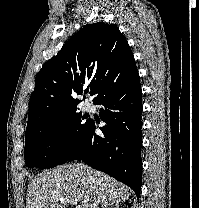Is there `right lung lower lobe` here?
<instances>
[{"label":"right lung lower lobe","mask_w":199,"mask_h":208,"mask_svg":"<svg viewBox=\"0 0 199 208\" xmlns=\"http://www.w3.org/2000/svg\"><path fill=\"white\" fill-rule=\"evenodd\" d=\"M103 105L100 118L106 124L95 133L90 120L70 160H80L128 185L140 197L142 181V90L139 74L114 87L94 102Z\"/></svg>","instance_id":"98d812e1"}]
</instances>
